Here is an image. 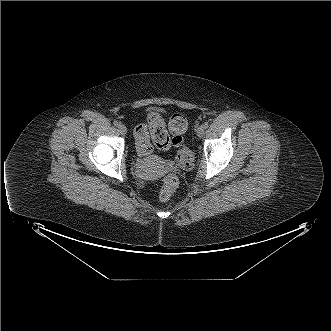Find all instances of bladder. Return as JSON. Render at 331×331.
Listing matches in <instances>:
<instances>
[{"label":"bladder","mask_w":331,"mask_h":331,"mask_svg":"<svg viewBox=\"0 0 331 331\" xmlns=\"http://www.w3.org/2000/svg\"><path fill=\"white\" fill-rule=\"evenodd\" d=\"M156 160H157L156 157H151L150 159H146V160H144V163H145V164H150V163H152V162H154V161H156Z\"/></svg>","instance_id":"obj_1"}]
</instances>
